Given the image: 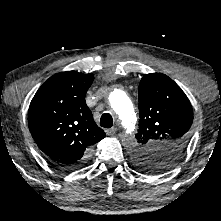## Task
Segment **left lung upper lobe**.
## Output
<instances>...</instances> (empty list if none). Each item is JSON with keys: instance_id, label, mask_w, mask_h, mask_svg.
<instances>
[{"instance_id": "obj_1", "label": "left lung upper lobe", "mask_w": 221, "mask_h": 221, "mask_svg": "<svg viewBox=\"0 0 221 221\" xmlns=\"http://www.w3.org/2000/svg\"><path fill=\"white\" fill-rule=\"evenodd\" d=\"M139 129L133 159L149 173L176 164L189 141L191 103L182 89L162 73L145 74L139 84Z\"/></svg>"}]
</instances>
